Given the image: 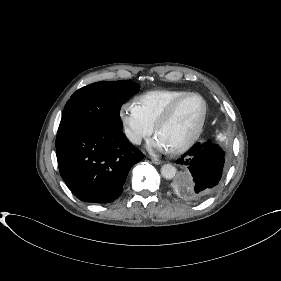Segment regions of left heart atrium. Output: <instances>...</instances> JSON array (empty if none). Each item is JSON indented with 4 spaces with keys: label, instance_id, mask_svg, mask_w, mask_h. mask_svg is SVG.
<instances>
[{
    "label": "left heart atrium",
    "instance_id": "left-heart-atrium-1",
    "mask_svg": "<svg viewBox=\"0 0 281 281\" xmlns=\"http://www.w3.org/2000/svg\"><path fill=\"white\" fill-rule=\"evenodd\" d=\"M153 146L158 149H166L158 138H156V140L153 142Z\"/></svg>",
    "mask_w": 281,
    "mask_h": 281
}]
</instances>
